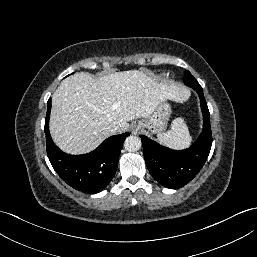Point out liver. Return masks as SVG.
I'll return each instance as SVG.
<instances>
[{"instance_id":"6515ba94","label":"liver","mask_w":257,"mask_h":257,"mask_svg":"<svg viewBox=\"0 0 257 257\" xmlns=\"http://www.w3.org/2000/svg\"><path fill=\"white\" fill-rule=\"evenodd\" d=\"M187 95L183 87L158 82L139 70L98 79L78 72L64 79L52 96L50 133L66 153H87L110 136L107 126L116 125L124 132L129 121L147 118L159 103L182 101Z\"/></svg>"}]
</instances>
